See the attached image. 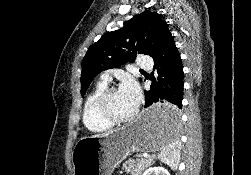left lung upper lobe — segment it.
Listing matches in <instances>:
<instances>
[{
    "label": "left lung upper lobe",
    "mask_w": 251,
    "mask_h": 175,
    "mask_svg": "<svg viewBox=\"0 0 251 175\" xmlns=\"http://www.w3.org/2000/svg\"><path fill=\"white\" fill-rule=\"evenodd\" d=\"M170 32L163 16L149 10L131 18L123 28L104 34L82 61L81 94L103 70L133 62L137 54L153 56Z\"/></svg>",
    "instance_id": "5c2ea615"
}]
</instances>
